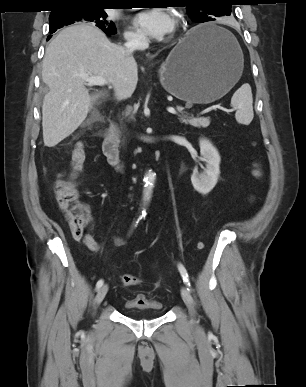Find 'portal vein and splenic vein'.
Listing matches in <instances>:
<instances>
[{"label": "portal vein and splenic vein", "mask_w": 306, "mask_h": 387, "mask_svg": "<svg viewBox=\"0 0 306 387\" xmlns=\"http://www.w3.org/2000/svg\"><path fill=\"white\" fill-rule=\"evenodd\" d=\"M86 81L88 82L89 86H93V85L104 86L107 83L104 78H102V77H94V76L93 77H87ZM167 111L169 113L176 114V110L173 107H169L167 109ZM202 120H203V124L208 123V119L207 118H203Z\"/></svg>", "instance_id": "18ae733b"}]
</instances>
